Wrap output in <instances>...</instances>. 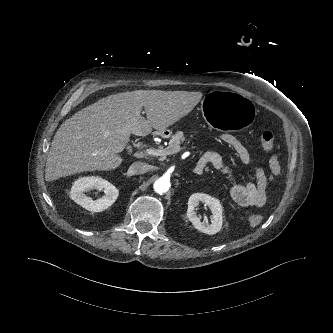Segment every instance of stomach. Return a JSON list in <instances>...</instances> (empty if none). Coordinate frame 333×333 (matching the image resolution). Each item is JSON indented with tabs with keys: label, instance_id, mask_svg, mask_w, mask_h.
Returning <instances> with one entry per match:
<instances>
[{
	"label": "stomach",
	"instance_id": "stomach-1",
	"mask_svg": "<svg viewBox=\"0 0 333 333\" xmlns=\"http://www.w3.org/2000/svg\"><path fill=\"white\" fill-rule=\"evenodd\" d=\"M201 116L212 129L241 134L253 125L255 109L251 101L242 95L215 91L202 101Z\"/></svg>",
	"mask_w": 333,
	"mask_h": 333
}]
</instances>
